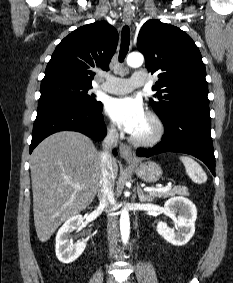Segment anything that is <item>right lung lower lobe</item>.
I'll return each instance as SVG.
<instances>
[{
    "label": "right lung lower lobe",
    "instance_id": "obj_1",
    "mask_svg": "<svg viewBox=\"0 0 233 283\" xmlns=\"http://www.w3.org/2000/svg\"><path fill=\"white\" fill-rule=\"evenodd\" d=\"M102 106L88 110L61 103L38 106L34 122L30 153L47 136L59 131L81 132L94 140L106 135ZM113 153L116 155V151Z\"/></svg>",
    "mask_w": 233,
    "mask_h": 283
}]
</instances>
